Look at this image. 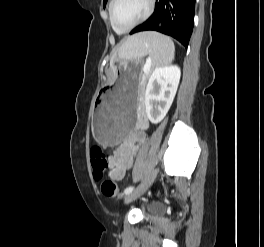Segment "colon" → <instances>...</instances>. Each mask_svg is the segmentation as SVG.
Masks as SVG:
<instances>
[{
  "mask_svg": "<svg viewBox=\"0 0 264 247\" xmlns=\"http://www.w3.org/2000/svg\"><path fill=\"white\" fill-rule=\"evenodd\" d=\"M90 159L93 176L96 179H102L109 165L106 153L99 146L92 147L90 150ZM101 191L106 197L118 196L117 186L110 180H105L102 182Z\"/></svg>",
  "mask_w": 264,
  "mask_h": 247,
  "instance_id": "5ec220e1",
  "label": "colon"
}]
</instances>
